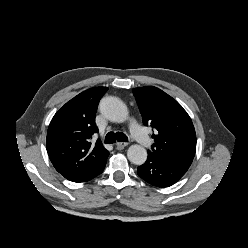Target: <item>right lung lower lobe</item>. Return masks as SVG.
Returning <instances> with one entry per match:
<instances>
[{"label":"right lung lower lobe","mask_w":248,"mask_h":248,"mask_svg":"<svg viewBox=\"0 0 248 248\" xmlns=\"http://www.w3.org/2000/svg\"><path fill=\"white\" fill-rule=\"evenodd\" d=\"M105 165H106V162H105V163L102 165V167H101L93 176H91L88 180H90V179L96 177L97 175L101 174V173L103 172L104 168H105ZM88 180H86V181H88Z\"/></svg>","instance_id":"right-lung-lower-lobe-1"}]
</instances>
